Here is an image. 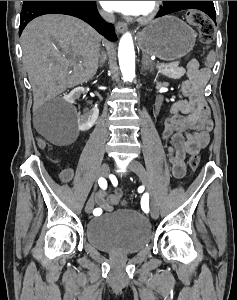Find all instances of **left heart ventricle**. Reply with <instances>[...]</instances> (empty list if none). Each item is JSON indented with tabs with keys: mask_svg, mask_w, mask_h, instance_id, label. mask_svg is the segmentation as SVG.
Wrapping results in <instances>:
<instances>
[{
	"mask_svg": "<svg viewBox=\"0 0 237 300\" xmlns=\"http://www.w3.org/2000/svg\"><path fill=\"white\" fill-rule=\"evenodd\" d=\"M147 2H148V1H145V2H144L143 6H142V8L140 9V11L138 12V14L144 12V11L147 9V5H148Z\"/></svg>",
	"mask_w": 237,
	"mask_h": 300,
	"instance_id": "1",
	"label": "left heart ventricle"
}]
</instances>
